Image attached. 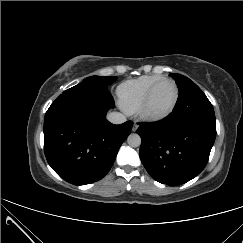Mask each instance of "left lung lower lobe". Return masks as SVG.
I'll return each mask as SVG.
<instances>
[{"label": "left lung lower lobe", "instance_id": "0a47b994", "mask_svg": "<svg viewBox=\"0 0 243 243\" xmlns=\"http://www.w3.org/2000/svg\"><path fill=\"white\" fill-rule=\"evenodd\" d=\"M175 112L174 107L164 119L140 123L137 129L141 162L156 181L169 186L184 184L205 168L216 137L215 120H193Z\"/></svg>", "mask_w": 243, "mask_h": 243}]
</instances>
